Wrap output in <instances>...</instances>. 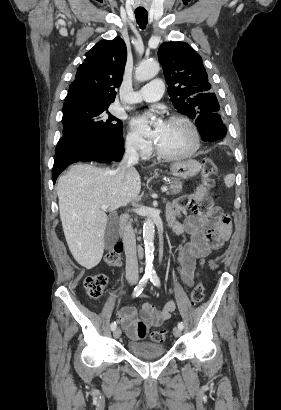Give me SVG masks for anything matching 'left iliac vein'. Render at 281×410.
<instances>
[{"mask_svg":"<svg viewBox=\"0 0 281 410\" xmlns=\"http://www.w3.org/2000/svg\"><path fill=\"white\" fill-rule=\"evenodd\" d=\"M181 334H182L181 329H180L179 327H174V329H173V335H174L176 338H178V337L181 336Z\"/></svg>","mask_w":281,"mask_h":410,"instance_id":"left-iliac-vein-1","label":"left iliac vein"}]
</instances>
